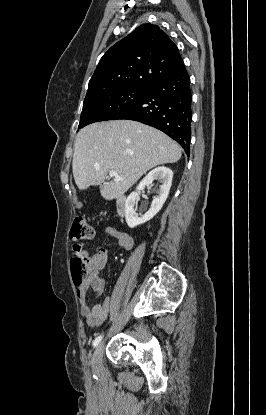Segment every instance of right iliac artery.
Wrapping results in <instances>:
<instances>
[{"instance_id": "right-iliac-artery-1", "label": "right iliac artery", "mask_w": 266, "mask_h": 415, "mask_svg": "<svg viewBox=\"0 0 266 415\" xmlns=\"http://www.w3.org/2000/svg\"><path fill=\"white\" fill-rule=\"evenodd\" d=\"M103 335L98 336L97 338H95V340L93 341V347L95 348L96 346H98V344L100 343V341L102 340Z\"/></svg>"}]
</instances>
